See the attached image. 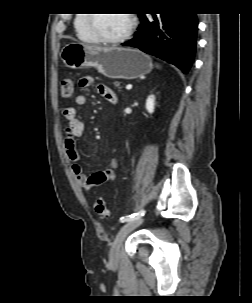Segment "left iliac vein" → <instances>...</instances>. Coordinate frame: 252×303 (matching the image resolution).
I'll return each mask as SVG.
<instances>
[{
  "label": "left iliac vein",
  "instance_id": "1",
  "mask_svg": "<svg viewBox=\"0 0 252 303\" xmlns=\"http://www.w3.org/2000/svg\"><path fill=\"white\" fill-rule=\"evenodd\" d=\"M143 223V219L140 218H136L132 221H129L127 223H125L119 230L112 246L110 249V262L113 264H116L119 261L120 258V249H121V245L124 241V239L126 238V236L135 228H137L138 226H140Z\"/></svg>",
  "mask_w": 252,
  "mask_h": 303
}]
</instances>
